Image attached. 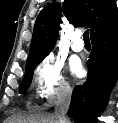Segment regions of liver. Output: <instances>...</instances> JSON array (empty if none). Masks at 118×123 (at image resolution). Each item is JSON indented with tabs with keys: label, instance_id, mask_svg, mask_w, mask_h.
Segmentation results:
<instances>
[{
	"label": "liver",
	"instance_id": "liver-1",
	"mask_svg": "<svg viewBox=\"0 0 118 123\" xmlns=\"http://www.w3.org/2000/svg\"><path fill=\"white\" fill-rule=\"evenodd\" d=\"M4 123H59L53 114H32L29 116H11Z\"/></svg>",
	"mask_w": 118,
	"mask_h": 123
}]
</instances>
